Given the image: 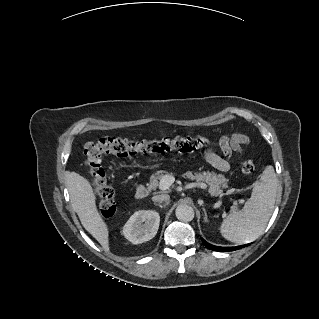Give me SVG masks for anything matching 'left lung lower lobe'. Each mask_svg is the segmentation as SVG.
<instances>
[{"mask_svg": "<svg viewBox=\"0 0 319 319\" xmlns=\"http://www.w3.org/2000/svg\"><path fill=\"white\" fill-rule=\"evenodd\" d=\"M201 240H202V243L204 244V246H206L208 249L213 250V251H234V250L239 249L241 247V246H237V247H219V246H214L212 244H209L203 238H201Z\"/></svg>", "mask_w": 319, "mask_h": 319, "instance_id": "1", "label": "left lung lower lobe"}]
</instances>
